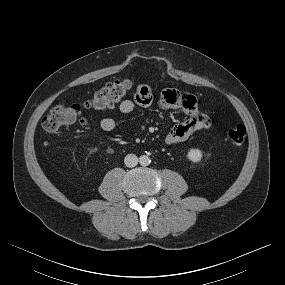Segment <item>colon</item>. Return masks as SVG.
<instances>
[{
  "label": "colon",
  "mask_w": 285,
  "mask_h": 285,
  "mask_svg": "<svg viewBox=\"0 0 285 285\" xmlns=\"http://www.w3.org/2000/svg\"><path fill=\"white\" fill-rule=\"evenodd\" d=\"M131 88L127 79H119L108 83L88 99L84 106L95 110H105L119 103ZM82 120L79 105L57 104L43 118L42 126L47 132H55L63 126L72 125ZM229 140L234 144H242L246 138V128L239 124L228 132Z\"/></svg>",
  "instance_id": "5ec220e1"
}]
</instances>
